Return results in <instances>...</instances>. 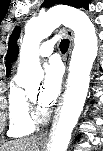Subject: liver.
<instances>
[{
    "label": "liver",
    "instance_id": "6515ba94",
    "mask_svg": "<svg viewBox=\"0 0 103 151\" xmlns=\"http://www.w3.org/2000/svg\"><path fill=\"white\" fill-rule=\"evenodd\" d=\"M0 151H38L37 138H20L6 142L0 147Z\"/></svg>",
    "mask_w": 103,
    "mask_h": 151
}]
</instances>
